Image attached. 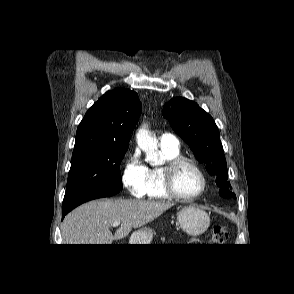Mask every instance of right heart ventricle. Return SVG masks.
Returning <instances> with one entry per match:
<instances>
[{"label": "right heart ventricle", "instance_id": "obj_1", "mask_svg": "<svg viewBox=\"0 0 294 294\" xmlns=\"http://www.w3.org/2000/svg\"><path fill=\"white\" fill-rule=\"evenodd\" d=\"M161 154L164 158L165 163L173 158L180 156L179 148L171 149L161 147ZM163 166L147 168V187L146 195L150 199L154 200H169L171 197L164 188V175Z\"/></svg>", "mask_w": 294, "mask_h": 294}]
</instances>
